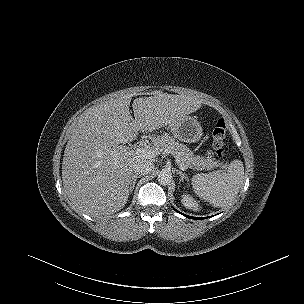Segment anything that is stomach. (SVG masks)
Masks as SVG:
<instances>
[{
  "label": "stomach",
  "instance_id": "obj_1",
  "mask_svg": "<svg viewBox=\"0 0 304 304\" xmlns=\"http://www.w3.org/2000/svg\"><path fill=\"white\" fill-rule=\"evenodd\" d=\"M173 136L180 141L193 143L202 136V127L200 123L191 116H184L169 125Z\"/></svg>",
  "mask_w": 304,
  "mask_h": 304
}]
</instances>
